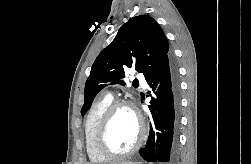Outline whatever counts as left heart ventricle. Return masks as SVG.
Wrapping results in <instances>:
<instances>
[{
    "mask_svg": "<svg viewBox=\"0 0 251 164\" xmlns=\"http://www.w3.org/2000/svg\"><path fill=\"white\" fill-rule=\"evenodd\" d=\"M138 123L128 108H120L114 114L107 134L108 146L116 152L129 150L137 141Z\"/></svg>",
    "mask_w": 251,
    "mask_h": 164,
    "instance_id": "left-heart-ventricle-1",
    "label": "left heart ventricle"
}]
</instances>
